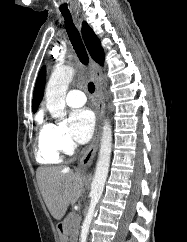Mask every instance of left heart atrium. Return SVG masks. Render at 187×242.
Wrapping results in <instances>:
<instances>
[{"label": "left heart atrium", "mask_w": 187, "mask_h": 242, "mask_svg": "<svg viewBox=\"0 0 187 242\" xmlns=\"http://www.w3.org/2000/svg\"><path fill=\"white\" fill-rule=\"evenodd\" d=\"M69 120L72 137L80 143L89 141L95 127L94 113L88 108L76 109L71 112Z\"/></svg>", "instance_id": "39dd6f15"}]
</instances>
